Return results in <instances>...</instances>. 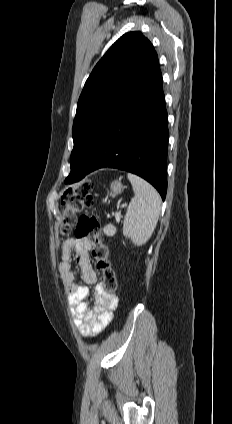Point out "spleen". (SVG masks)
<instances>
[{
  "mask_svg": "<svg viewBox=\"0 0 232 424\" xmlns=\"http://www.w3.org/2000/svg\"><path fill=\"white\" fill-rule=\"evenodd\" d=\"M135 196L131 199L123 223V235L137 245L151 237L160 214L161 198L156 189L141 177L128 173Z\"/></svg>",
  "mask_w": 232,
  "mask_h": 424,
  "instance_id": "3e777b00",
  "label": "spleen"
}]
</instances>
